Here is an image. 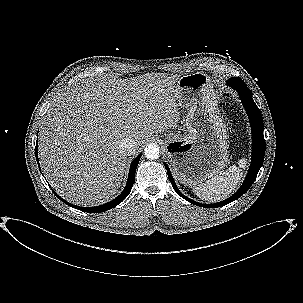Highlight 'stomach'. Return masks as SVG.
<instances>
[{"label": "stomach", "instance_id": "1", "mask_svg": "<svg viewBox=\"0 0 303 303\" xmlns=\"http://www.w3.org/2000/svg\"><path fill=\"white\" fill-rule=\"evenodd\" d=\"M178 104L187 112L188 134L170 133L165 148L176 178L195 186L221 173L229 161L227 131L211 78L204 73L177 80Z\"/></svg>", "mask_w": 303, "mask_h": 303}]
</instances>
